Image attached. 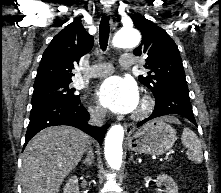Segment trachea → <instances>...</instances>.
I'll return each instance as SVG.
<instances>
[{
    "instance_id": "obj_1",
    "label": "trachea",
    "mask_w": 221,
    "mask_h": 193,
    "mask_svg": "<svg viewBox=\"0 0 221 193\" xmlns=\"http://www.w3.org/2000/svg\"><path fill=\"white\" fill-rule=\"evenodd\" d=\"M110 33L109 17L103 15L99 26V42L103 51L106 50Z\"/></svg>"
}]
</instances>
